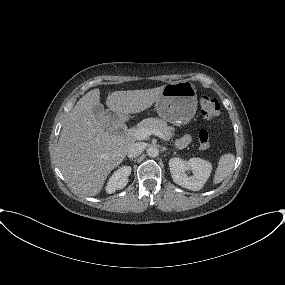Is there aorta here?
<instances>
[{"instance_id": "aorta-1", "label": "aorta", "mask_w": 285, "mask_h": 285, "mask_svg": "<svg viewBox=\"0 0 285 285\" xmlns=\"http://www.w3.org/2000/svg\"><path fill=\"white\" fill-rule=\"evenodd\" d=\"M146 152L151 158H155L159 155V149L156 146H150Z\"/></svg>"}]
</instances>
